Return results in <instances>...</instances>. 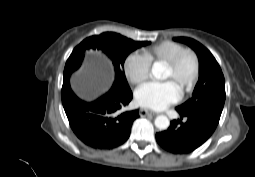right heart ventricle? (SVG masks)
I'll use <instances>...</instances> for the list:
<instances>
[{"instance_id":"right-heart-ventricle-1","label":"right heart ventricle","mask_w":255,"mask_h":177,"mask_svg":"<svg viewBox=\"0 0 255 177\" xmlns=\"http://www.w3.org/2000/svg\"><path fill=\"white\" fill-rule=\"evenodd\" d=\"M184 49V46L173 42L163 41L143 51L145 57L150 63H166L171 60L177 53Z\"/></svg>"}]
</instances>
